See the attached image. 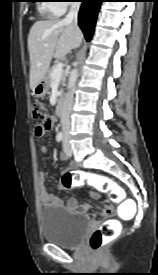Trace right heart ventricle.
Returning a JSON list of instances; mask_svg holds the SVG:
<instances>
[{"mask_svg": "<svg viewBox=\"0 0 158 275\" xmlns=\"http://www.w3.org/2000/svg\"><path fill=\"white\" fill-rule=\"evenodd\" d=\"M41 10L47 14H51V15H61L59 10H56L54 8L53 3H43L41 4Z\"/></svg>", "mask_w": 158, "mask_h": 275, "instance_id": "right-heart-ventricle-1", "label": "right heart ventricle"}]
</instances>
